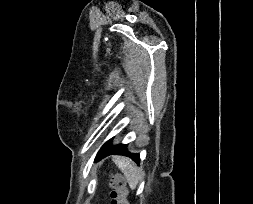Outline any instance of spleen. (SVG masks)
Masks as SVG:
<instances>
[{
	"label": "spleen",
	"instance_id": "1",
	"mask_svg": "<svg viewBox=\"0 0 253 204\" xmlns=\"http://www.w3.org/2000/svg\"><path fill=\"white\" fill-rule=\"evenodd\" d=\"M113 161L124 174L130 188L134 190L142 179L141 169L124 157H113Z\"/></svg>",
	"mask_w": 253,
	"mask_h": 204
}]
</instances>
